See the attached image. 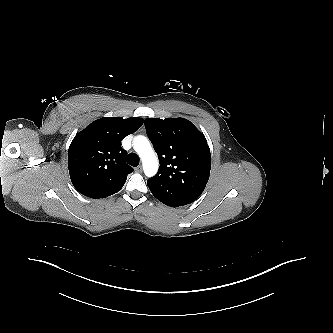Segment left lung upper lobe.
<instances>
[{"mask_svg": "<svg viewBox=\"0 0 333 333\" xmlns=\"http://www.w3.org/2000/svg\"><path fill=\"white\" fill-rule=\"evenodd\" d=\"M145 127L160 163L157 174L147 181L152 194L158 200L167 195L197 199L211 169L205 136L184 118H146Z\"/></svg>", "mask_w": 333, "mask_h": 333, "instance_id": "left-lung-upper-lobe-1", "label": "left lung upper lobe"}]
</instances>
